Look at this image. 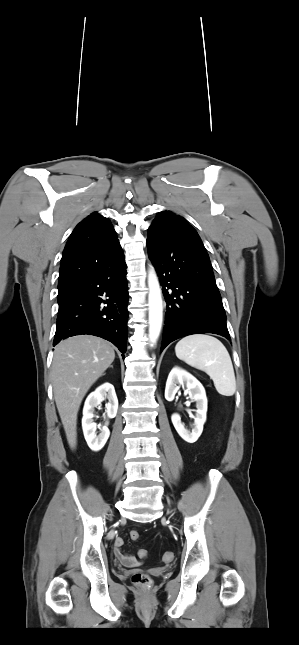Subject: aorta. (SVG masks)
I'll return each instance as SVG.
<instances>
[{
    "label": "aorta",
    "instance_id": "obj_1",
    "mask_svg": "<svg viewBox=\"0 0 299 645\" xmlns=\"http://www.w3.org/2000/svg\"><path fill=\"white\" fill-rule=\"evenodd\" d=\"M149 286V338L152 343L156 342L162 326V298L158 278L154 269L148 274Z\"/></svg>",
    "mask_w": 299,
    "mask_h": 645
}]
</instances>
